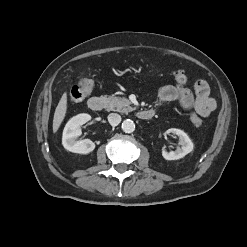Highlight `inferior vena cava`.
Instances as JSON below:
<instances>
[{
    "label": "inferior vena cava",
    "mask_w": 247,
    "mask_h": 247,
    "mask_svg": "<svg viewBox=\"0 0 247 247\" xmlns=\"http://www.w3.org/2000/svg\"><path fill=\"white\" fill-rule=\"evenodd\" d=\"M108 121L112 126H117L121 122V116L117 113H110Z\"/></svg>",
    "instance_id": "obj_1"
}]
</instances>
